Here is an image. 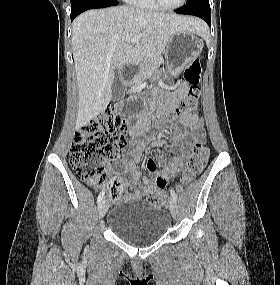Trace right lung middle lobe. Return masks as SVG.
Wrapping results in <instances>:
<instances>
[{
	"mask_svg": "<svg viewBox=\"0 0 280 285\" xmlns=\"http://www.w3.org/2000/svg\"><path fill=\"white\" fill-rule=\"evenodd\" d=\"M86 1H105V2H112L116 0H71V8H75L79 6L80 4L86 2Z\"/></svg>",
	"mask_w": 280,
	"mask_h": 285,
	"instance_id": "1",
	"label": "right lung middle lobe"
}]
</instances>
